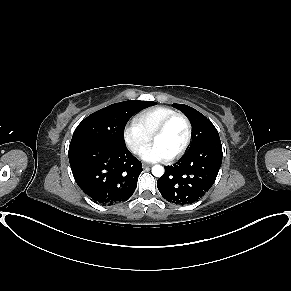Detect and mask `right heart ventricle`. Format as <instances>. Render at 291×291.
<instances>
[{
    "label": "right heart ventricle",
    "mask_w": 291,
    "mask_h": 291,
    "mask_svg": "<svg viewBox=\"0 0 291 291\" xmlns=\"http://www.w3.org/2000/svg\"><path fill=\"white\" fill-rule=\"evenodd\" d=\"M174 113H176V111L171 108L158 106L137 114L135 117V122L138 123L150 136H152L163 120Z\"/></svg>",
    "instance_id": "obj_1"
}]
</instances>
